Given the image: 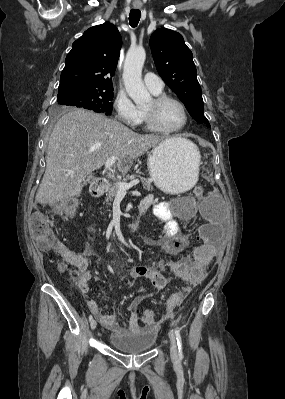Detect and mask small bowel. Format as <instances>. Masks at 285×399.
I'll return each mask as SVG.
<instances>
[{
  "label": "small bowel",
  "instance_id": "small-bowel-1",
  "mask_svg": "<svg viewBox=\"0 0 285 399\" xmlns=\"http://www.w3.org/2000/svg\"><path fill=\"white\" fill-rule=\"evenodd\" d=\"M151 207L154 216L163 223L162 236L152 241L160 255L153 265L129 269L120 273L118 277L148 281L156 290L164 289L174 277L182 280L185 284L184 289L171 294L167 301V309L171 313L172 311L169 307L181 304L191 289L203 279L208 267L215 262L219 253V233L217 229L220 226V218L218 211L211 200L208 199L187 214L190 218L195 214H199L205 219V223L196 233L185 234L181 231L180 225L172 214L167 201H157L152 194H148L141 200L139 208H145L147 212ZM192 241L198 244L192 247ZM190 255L192 259L189 258ZM74 257L72 264L80 273L79 287L83 292H88L89 282L92 277L88 269L90 261L83 256L77 255ZM192 264L199 265L203 269L197 280L192 278ZM139 302L140 298L138 297L134 298L129 304L125 328L120 326L116 316L103 314L102 307L95 300L89 299L87 306L103 327L109 331L120 333L125 329L132 330L138 327L136 308Z\"/></svg>",
  "mask_w": 285,
  "mask_h": 399
}]
</instances>
